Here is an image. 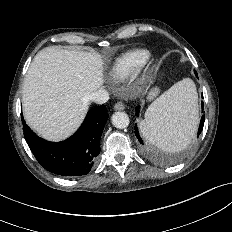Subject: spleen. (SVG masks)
Masks as SVG:
<instances>
[{
	"label": "spleen",
	"instance_id": "1",
	"mask_svg": "<svg viewBox=\"0 0 232 232\" xmlns=\"http://www.w3.org/2000/svg\"><path fill=\"white\" fill-rule=\"evenodd\" d=\"M197 92L185 78L174 84L146 110L139 127L143 137L166 152H178L192 141L198 124Z\"/></svg>",
	"mask_w": 232,
	"mask_h": 232
}]
</instances>
